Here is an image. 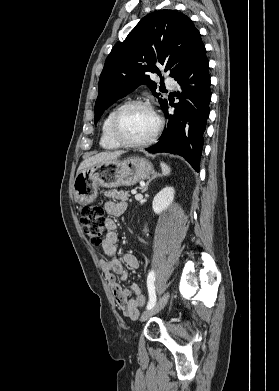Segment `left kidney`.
<instances>
[{"label": "left kidney", "mask_w": 279, "mask_h": 391, "mask_svg": "<svg viewBox=\"0 0 279 391\" xmlns=\"http://www.w3.org/2000/svg\"><path fill=\"white\" fill-rule=\"evenodd\" d=\"M175 190L173 187L163 188L153 199V211L160 214L166 210L174 200Z\"/></svg>", "instance_id": "1"}]
</instances>
